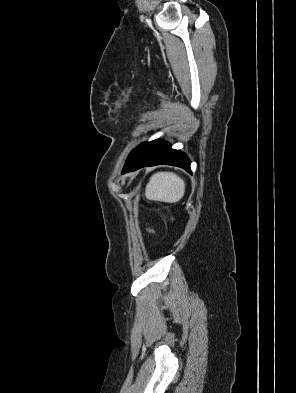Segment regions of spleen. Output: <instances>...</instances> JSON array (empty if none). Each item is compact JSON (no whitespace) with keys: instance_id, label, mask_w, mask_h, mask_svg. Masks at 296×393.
<instances>
[{"instance_id":"spleen-1","label":"spleen","mask_w":296,"mask_h":393,"mask_svg":"<svg viewBox=\"0 0 296 393\" xmlns=\"http://www.w3.org/2000/svg\"><path fill=\"white\" fill-rule=\"evenodd\" d=\"M185 193V182L172 172H158L152 175L146 185L145 196L148 200L176 203Z\"/></svg>"}]
</instances>
